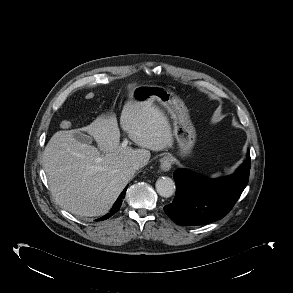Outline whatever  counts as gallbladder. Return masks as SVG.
Returning a JSON list of instances; mask_svg holds the SVG:
<instances>
[{"instance_id":"bac80fb5","label":"gallbladder","mask_w":293,"mask_h":293,"mask_svg":"<svg viewBox=\"0 0 293 293\" xmlns=\"http://www.w3.org/2000/svg\"><path fill=\"white\" fill-rule=\"evenodd\" d=\"M73 137L81 143L90 144L92 142V138L90 136H87L80 132H74Z\"/></svg>"}]
</instances>
